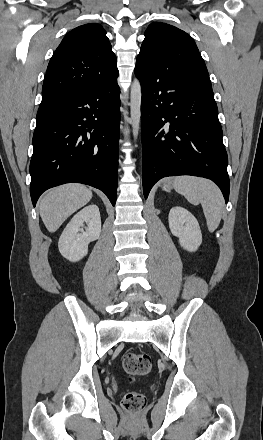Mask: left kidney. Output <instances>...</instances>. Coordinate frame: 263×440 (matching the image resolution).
Returning a JSON list of instances; mask_svg holds the SVG:
<instances>
[{"label":"left kidney","instance_id":"1","mask_svg":"<svg viewBox=\"0 0 263 440\" xmlns=\"http://www.w3.org/2000/svg\"><path fill=\"white\" fill-rule=\"evenodd\" d=\"M169 228L179 238L181 247L194 252L202 243V234L197 219L185 208L175 206L169 212Z\"/></svg>","mask_w":263,"mask_h":440}]
</instances>
